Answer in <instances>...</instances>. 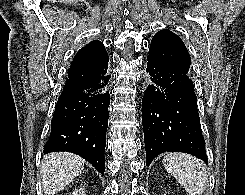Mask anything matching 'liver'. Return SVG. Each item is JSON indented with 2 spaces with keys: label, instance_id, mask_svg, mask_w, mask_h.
Returning <instances> with one entry per match:
<instances>
[{
  "label": "liver",
  "instance_id": "6515ba94",
  "mask_svg": "<svg viewBox=\"0 0 245 195\" xmlns=\"http://www.w3.org/2000/svg\"><path fill=\"white\" fill-rule=\"evenodd\" d=\"M41 165L44 191L54 195L83 171L84 160L69 152H55L46 155Z\"/></svg>",
  "mask_w": 245,
  "mask_h": 195
}]
</instances>
